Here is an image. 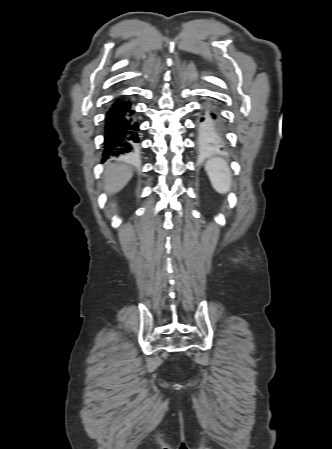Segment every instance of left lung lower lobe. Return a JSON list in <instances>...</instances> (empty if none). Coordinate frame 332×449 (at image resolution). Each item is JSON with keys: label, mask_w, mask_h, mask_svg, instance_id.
Instances as JSON below:
<instances>
[{"label": "left lung lower lobe", "mask_w": 332, "mask_h": 449, "mask_svg": "<svg viewBox=\"0 0 332 449\" xmlns=\"http://www.w3.org/2000/svg\"><path fill=\"white\" fill-rule=\"evenodd\" d=\"M224 130L217 108L206 105L198 118V147L201 151L222 149L225 145Z\"/></svg>", "instance_id": "0a47b994"}]
</instances>
